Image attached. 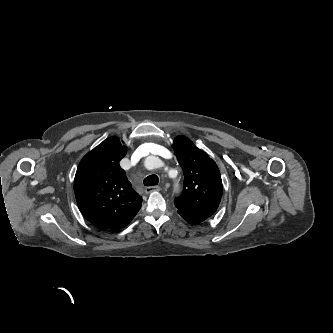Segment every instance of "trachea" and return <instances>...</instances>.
<instances>
[{
    "mask_svg": "<svg viewBox=\"0 0 333 333\" xmlns=\"http://www.w3.org/2000/svg\"><path fill=\"white\" fill-rule=\"evenodd\" d=\"M158 177L156 175H150L144 179V185L145 186H155L158 184Z\"/></svg>",
    "mask_w": 333,
    "mask_h": 333,
    "instance_id": "obj_1",
    "label": "trachea"
}]
</instances>
